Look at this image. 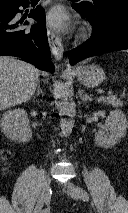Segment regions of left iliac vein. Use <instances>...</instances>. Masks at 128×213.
<instances>
[{"label":"left iliac vein","instance_id":"4c4485c4","mask_svg":"<svg viewBox=\"0 0 128 213\" xmlns=\"http://www.w3.org/2000/svg\"><path fill=\"white\" fill-rule=\"evenodd\" d=\"M67 189L73 199L78 200L80 198L78 187L75 184H73L72 182H68Z\"/></svg>","mask_w":128,"mask_h":213}]
</instances>
